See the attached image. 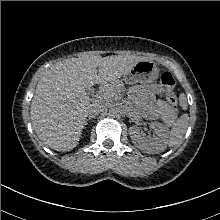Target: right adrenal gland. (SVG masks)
<instances>
[{
    "mask_svg": "<svg viewBox=\"0 0 220 220\" xmlns=\"http://www.w3.org/2000/svg\"><path fill=\"white\" fill-rule=\"evenodd\" d=\"M91 120V118L89 117L88 119L85 120V125H87V121Z\"/></svg>",
    "mask_w": 220,
    "mask_h": 220,
    "instance_id": "1",
    "label": "right adrenal gland"
}]
</instances>
